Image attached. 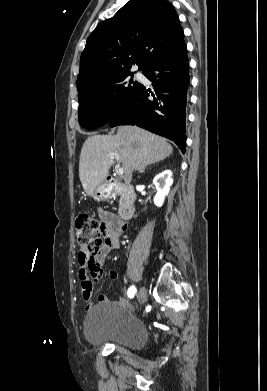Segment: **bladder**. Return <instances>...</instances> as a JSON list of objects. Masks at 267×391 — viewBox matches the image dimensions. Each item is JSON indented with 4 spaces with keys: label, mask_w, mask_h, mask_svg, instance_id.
Returning a JSON list of instances; mask_svg holds the SVG:
<instances>
[{
    "label": "bladder",
    "mask_w": 267,
    "mask_h": 391,
    "mask_svg": "<svg viewBox=\"0 0 267 391\" xmlns=\"http://www.w3.org/2000/svg\"><path fill=\"white\" fill-rule=\"evenodd\" d=\"M84 337L92 345L113 344L130 350L141 349L148 338L145 324L118 302L95 305L84 323Z\"/></svg>",
    "instance_id": "31cf9c89"
}]
</instances>
